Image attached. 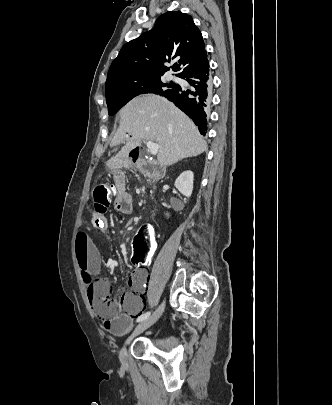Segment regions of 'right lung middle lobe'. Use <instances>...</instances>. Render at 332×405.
Wrapping results in <instances>:
<instances>
[{
    "label": "right lung middle lobe",
    "mask_w": 332,
    "mask_h": 405,
    "mask_svg": "<svg viewBox=\"0 0 332 405\" xmlns=\"http://www.w3.org/2000/svg\"><path fill=\"white\" fill-rule=\"evenodd\" d=\"M161 76L127 78L106 89L109 115H114L128 101L139 94L156 93L163 95L177 85L172 81L169 84L162 83Z\"/></svg>",
    "instance_id": "obj_1"
}]
</instances>
